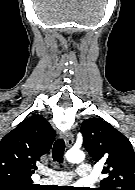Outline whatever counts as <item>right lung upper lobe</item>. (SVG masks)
I'll list each match as a JSON object with an SVG mask.
<instances>
[{
  "label": "right lung upper lobe",
  "mask_w": 135,
  "mask_h": 190,
  "mask_svg": "<svg viewBox=\"0 0 135 190\" xmlns=\"http://www.w3.org/2000/svg\"><path fill=\"white\" fill-rule=\"evenodd\" d=\"M55 139L49 122L36 115L23 120L0 141V184L30 185L36 161Z\"/></svg>",
  "instance_id": "obj_1"
}]
</instances>
